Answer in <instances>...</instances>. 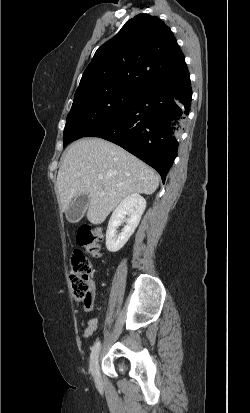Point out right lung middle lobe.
Instances as JSON below:
<instances>
[{
    "label": "right lung middle lobe",
    "mask_w": 250,
    "mask_h": 413,
    "mask_svg": "<svg viewBox=\"0 0 250 413\" xmlns=\"http://www.w3.org/2000/svg\"><path fill=\"white\" fill-rule=\"evenodd\" d=\"M140 92L128 86L88 88L75 92L64 129V147L113 119Z\"/></svg>",
    "instance_id": "obj_1"
}]
</instances>
